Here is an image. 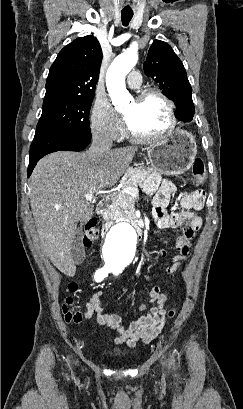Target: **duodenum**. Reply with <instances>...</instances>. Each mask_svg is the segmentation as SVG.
I'll return each instance as SVG.
<instances>
[{"label":"duodenum","instance_id":"duodenum-1","mask_svg":"<svg viewBox=\"0 0 243 409\" xmlns=\"http://www.w3.org/2000/svg\"><path fill=\"white\" fill-rule=\"evenodd\" d=\"M114 202H115V195H111V196H109V197L103 199V200H102L101 202H99V204L97 205V208H96L97 214H100V215H101V214L105 213L107 210H109V209L112 207V205L114 204ZM131 223H132L133 227L136 229L139 238H141L142 235H143V234H142V226H141V224H140L137 220H133ZM112 224H113V221H112V220H107V221L104 223L103 227H102V233L105 234V233L109 230V228L111 227Z\"/></svg>","mask_w":243,"mask_h":409}]
</instances>
